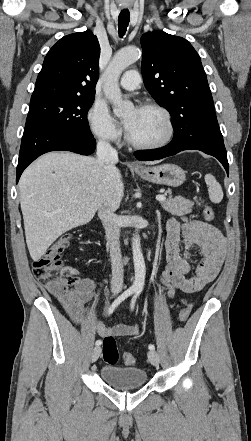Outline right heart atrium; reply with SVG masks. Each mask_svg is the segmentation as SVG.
Returning <instances> with one entry per match:
<instances>
[{
	"instance_id": "right-heart-atrium-1",
	"label": "right heart atrium",
	"mask_w": 251,
	"mask_h": 441,
	"mask_svg": "<svg viewBox=\"0 0 251 441\" xmlns=\"http://www.w3.org/2000/svg\"><path fill=\"white\" fill-rule=\"evenodd\" d=\"M88 122L91 132L97 139L106 142L119 140L121 130L102 102L95 101L92 104L88 112Z\"/></svg>"
}]
</instances>
